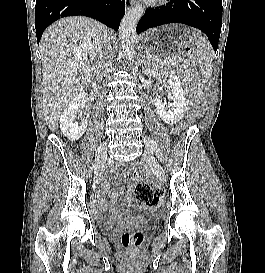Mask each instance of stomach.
<instances>
[{
  "instance_id": "1",
  "label": "stomach",
  "mask_w": 265,
  "mask_h": 273,
  "mask_svg": "<svg viewBox=\"0 0 265 273\" xmlns=\"http://www.w3.org/2000/svg\"><path fill=\"white\" fill-rule=\"evenodd\" d=\"M189 25H156V30H148V35H142L139 49H147L145 56L150 60H167V56H179V41H183Z\"/></svg>"
}]
</instances>
